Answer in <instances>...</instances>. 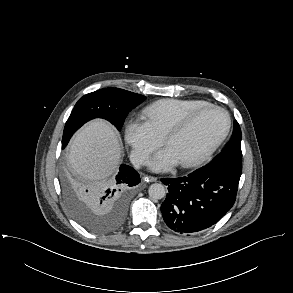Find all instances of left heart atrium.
<instances>
[{"instance_id":"39dd6f15","label":"left heart atrium","mask_w":293,"mask_h":293,"mask_svg":"<svg viewBox=\"0 0 293 293\" xmlns=\"http://www.w3.org/2000/svg\"><path fill=\"white\" fill-rule=\"evenodd\" d=\"M178 163L169 147L159 151L149 162V166L155 171H166Z\"/></svg>"}]
</instances>
